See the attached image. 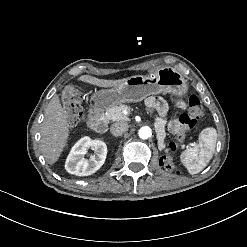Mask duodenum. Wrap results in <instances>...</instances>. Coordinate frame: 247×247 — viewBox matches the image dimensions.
<instances>
[{
    "label": "duodenum",
    "instance_id": "duodenum-1",
    "mask_svg": "<svg viewBox=\"0 0 247 247\" xmlns=\"http://www.w3.org/2000/svg\"><path fill=\"white\" fill-rule=\"evenodd\" d=\"M88 127L95 132L105 133L107 131V123L103 116L101 115V111L97 107H91L88 110Z\"/></svg>",
    "mask_w": 247,
    "mask_h": 247
}]
</instances>
